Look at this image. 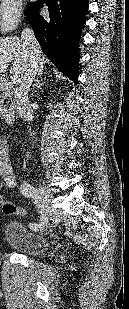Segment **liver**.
Segmentation results:
<instances>
[{"label":"liver","mask_w":129,"mask_h":309,"mask_svg":"<svg viewBox=\"0 0 129 309\" xmlns=\"http://www.w3.org/2000/svg\"><path fill=\"white\" fill-rule=\"evenodd\" d=\"M40 58L43 66L47 62V59L43 53H41ZM13 60L10 73L19 78L29 67V54L25 44L18 37L0 38V74L7 71Z\"/></svg>","instance_id":"obj_1"}]
</instances>
